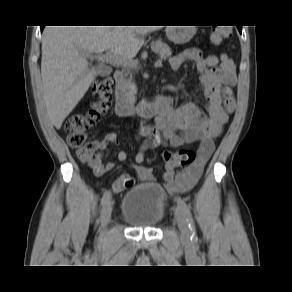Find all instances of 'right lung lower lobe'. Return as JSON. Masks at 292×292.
I'll list each match as a JSON object with an SVG mask.
<instances>
[{"mask_svg":"<svg viewBox=\"0 0 292 292\" xmlns=\"http://www.w3.org/2000/svg\"><path fill=\"white\" fill-rule=\"evenodd\" d=\"M44 27H45V26H41V31H43Z\"/></svg>","mask_w":292,"mask_h":292,"instance_id":"1","label":"right lung lower lobe"}]
</instances>
